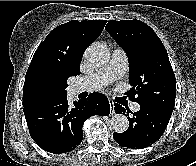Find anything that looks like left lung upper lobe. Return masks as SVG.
Segmentation results:
<instances>
[{
    "instance_id": "1",
    "label": "left lung upper lobe",
    "mask_w": 196,
    "mask_h": 166,
    "mask_svg": "<svg viewBox=\"0 0 196 166\" xmlns=\"http://www.w3.org/2000/svg\"><path fill=\"white\" fill-rule=\"evenodd\" d=\"M105 29L128 56L129 98L173 112L176 81L167 51L151 27L140 20H110Z\"/></svg>"
}]
</instances>
